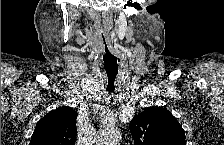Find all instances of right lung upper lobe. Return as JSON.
I'll list each match as a JSON object with an SVG mask.
<instances>
[{
  "label": "right lung upper lobe",
  "mask_w": 224,
  "mask_h": 145,
  "mask_svg": "<svg viewBox=\"0 0 224 145\" xmlns=\"http://www.w3.org/2000/svg\"><path fill=\"white\" fill-rule=\"evenodd\" d=\"M77 113L70 107L49 112L36 124L30 145H73Z\"/></svg>",
  "instance_id": "obj_1"
}]
</instances>
